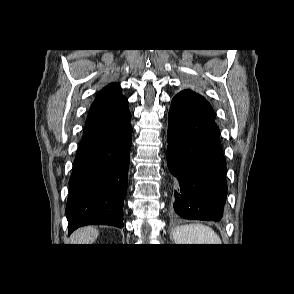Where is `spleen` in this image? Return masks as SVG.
<instances>
[{
	"label": "spleen",
	"mask_w": 294,
	"mask_h": 294,
	"mask_svg": "<svg viewBox=\"0 0 294 294\" xmlns=\"http://www.w3.org/2000/svg\"><path fill=\"white\" fill-rule=\"evenodd\" d=\"M173 238L176 244H221V239L214 230L200 223L176 227Z\"/></svg>",
	"instance_id": "obj_1"
}]
</instances>
